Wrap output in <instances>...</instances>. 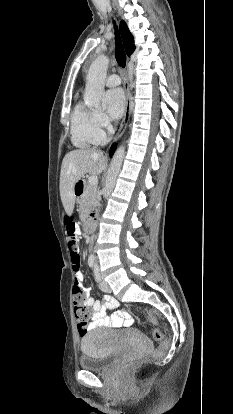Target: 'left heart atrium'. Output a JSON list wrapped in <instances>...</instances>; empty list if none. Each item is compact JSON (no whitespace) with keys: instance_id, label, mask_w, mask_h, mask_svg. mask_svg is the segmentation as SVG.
I'll return each mask as SVG.
<instances>
[{"instance_id":"39dd6f15","label":"left heart atrium","mask_w":233,"mask_h":414,"mask_svg":"<svg viewBox=\"0 0 233 414\" xmlns=\"http://www.w3.org/2000/svg\"><path fill=\"white\" fill-rule=\"evenodd\" d=\"M107 113L113 119L119 118L125 108V95L122 89L114 88L108 90L103 97Z\"/></svg>"}]
</instances>
